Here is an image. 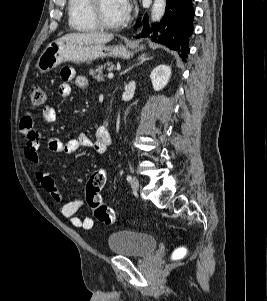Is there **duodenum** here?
Here are the masks:
<instances>
[{"label":"duodenum","mask_w":267,"mask_h":301,"mask_svg":"<svg viewBox=\"0 0 267 301\" xmlns=\"http://www.w3.org/2000/svg\"><path fill=\"white\" fill-rule=\"evenodd\" d=\"M108 125V119L106 118L105 120H104V126L106 127Z\"/></svg>","instance_id":"duodenum-1"}]
</instances>
